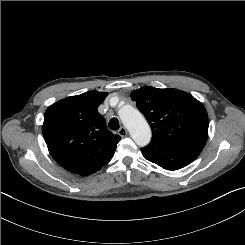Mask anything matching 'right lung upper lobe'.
Instances as JSON below:
<instances>
[{"label": "right lung upper lobe", "mask_w": 245, "mask_h": 245, "mask_svg": "<svg viewBox=\"0 0 245 245\" xmlns=\"http://www.w3.org/2000/svg\"><path fill=\"white\" fill-rule=\"evenodd\" d=\"M108 93L88 91L70 96L45 112L42 132L54 160L82 176L100 170L114 155L120 136L106 128L97 112Z\"/></svg>", "instance_id": "right-lung-upper-lobe-1"}]
</instances>
